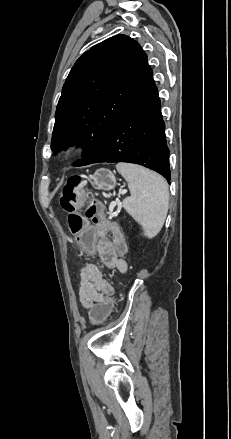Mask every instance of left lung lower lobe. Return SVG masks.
<instances>
[{"label":"left lung lower lobe","instance_id":"left-lung-lower-lobe-1","mask_svg":"<svg viewBox=\"0 0 231 439\" xmlns=\"http://www.w3.org/2000/svg\"><path fill=\"white\" fill-rule=\"evenodd\" d=\"M99 162L139 164L158 172L170 183L165 124L151 68L89 164Z\"/></svg>","mask_w":231,"mask_h":439}]
</instances>
